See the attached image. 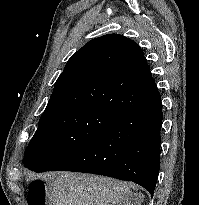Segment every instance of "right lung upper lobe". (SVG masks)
Masks as SVG:
<instances>
[{
	"mask_svg": "<svg viewBox=\"0 0 199 205\" xmlns=\"http://www.w3.org/2000/svg\"><path fill=\"white\" fill-rule=\"evenodd\" d=\"M153 80L141 48L109 34L85 44L68 60L44 112L88 106L122 117L142 103L129 85Z\"/></svg>",
	"mask_w": 199,
	"mask_h": 205,
	"instance_id": "cb5924a9",
	"label": "right lung upper lobe"
}]
</instances>
